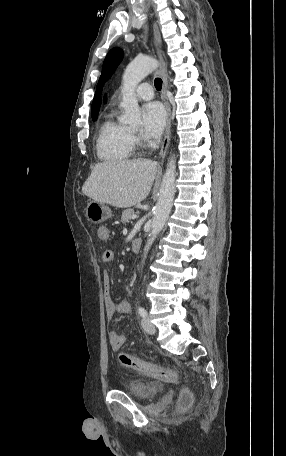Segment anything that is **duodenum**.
I'll return each instance as SVG.
<instances>
[{
  "label": "duodenum",
  "mask_w": 286,
  "mask_h": 456,
  "mask_svg": "<svg viewBox=\"0 0 286 456\" xmlns=\"http://www.w3.org/2000/svg\"><path fill=\"white\" fill-rule=\"evenodd\" d=\"M131 249L133 252L137 253L140 251L141 249V240L140 239H134L132 241V245H131Z\"/></svg>",
  "instance_id": "duodenum-1"
}]
</instances>
